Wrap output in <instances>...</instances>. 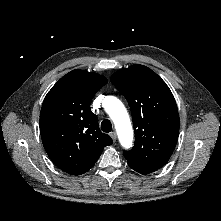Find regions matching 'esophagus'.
<instances>
[{"label": "esophagus", "instance_id": "34e87169", "mask_svg": "<svg viewBox=\"0 0 221 221\" xmlns=\"http://www.w3.org/2000/svg\"><path fill=\"white\" fill-rule=\"evenodd\" d=\"M111 138L113 139V141L115 142L117 140V134L116 132H111L110 133Z\"/></svg>", "mask_w": 221, "mask_h": 221}]
</instances>
